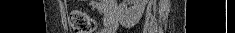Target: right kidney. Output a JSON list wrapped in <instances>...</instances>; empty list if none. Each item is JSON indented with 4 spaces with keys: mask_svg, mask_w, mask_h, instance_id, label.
I'll use <instances>...</instances> for the list:
<instances>
[{
    "mask_svg": "<svg viewBox=\"0 0 235 33\" xmlns=\"http://www.w3.org/2000/svg\"><path fill=\"white\" fill-rule=\"evenodd\" d=\"M148 0H134V5L125 11L120 10L119 18L121 23H127L130 20L138 21L145 9V5Z\"/></svg>",
    "mask_w": 235,
    "mask_h": 33,
    "instance_id": "right-kidney-1",
    "label": "right kidney"
}]
</instances>
